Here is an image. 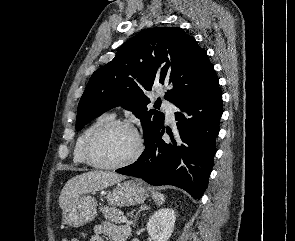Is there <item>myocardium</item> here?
<instances>
[{"label":"myocardium","mask_w":295,"mask_h":241,"mask_svg":"<svg viewBox=\"0 0 295 241\" xmlns=\"http://www.w3.org/2000/svg\"><path fill=\"white\" fill-rule=\"evenodd\" d=\"M118 127L129 129L134 134L137 141L136 150L130 158L123 162L115 164L103 163L99 161L95 156V146L104 134ZM144 149V139L137 130V128L127 121L114 119L102 124L91 134V136L88 138L86 142L84 155L87 163L94 168L103 170H117L134 164L142 156Z\"/></svg>","instance_id":"obj_1"}]
</instances>
